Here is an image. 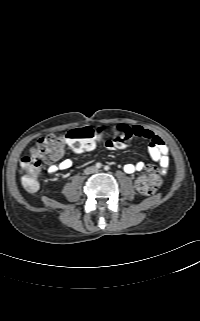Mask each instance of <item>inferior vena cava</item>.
<instances>
[{"mask_svg":"<svg viewBox=\"0 0 200 321\" xmlns=\"http://www.w3.org/2000/svg\"><path fill=\"white\" fill-rule=\"evenodd\" d=\"M97 172V168L91 166V167H87L85 170H84V173L85 174H92V173H95Z\"/></svg>","mask_w":200,"mask_h":321,"instance_id":"602c4592","label":"inferior vena cava"}]
</instances>
